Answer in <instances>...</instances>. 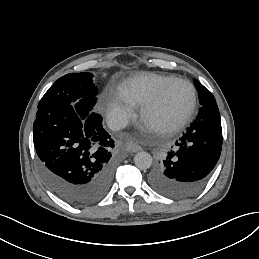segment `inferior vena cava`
<instances>
[{"instance_id": "inferior-vena-cava-1", "label": "inferior vena cava", "mask_w": 259, "mask_h": 259, "mask_svg": "<svg viewBox=\"0 0 259 259\" xmlns=\"http://www.w3.org/2000/svg\"><path fill=\"white\" fill-rule=\"evenodd\" d=\"M127 124V118L117 113L113 114L107 119V125L112 131H119L125 128Z\"/></svg>"}]
</instances>
